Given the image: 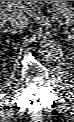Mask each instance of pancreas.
<instances>
[{
  "instance_id": "pancreas-1",
  "label": "pancreas",
  "mask_w": 74,
  "mask_h": 122,
  "mask_svg": "<svg viewBox=\"0 0 74 122\" xmlns=\"http://www.w3.org/2000/svg\"><path fill=\"white\" fill-rule=\"evenodd\" d=\"M30 8L39 5H52L56 13L65 18V24L73 23L74 8L67 1H25Z\"/></svg>"
}]
</instances>
